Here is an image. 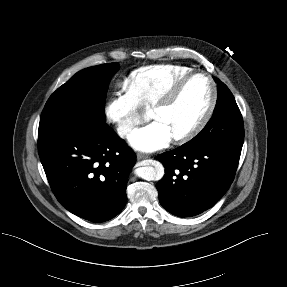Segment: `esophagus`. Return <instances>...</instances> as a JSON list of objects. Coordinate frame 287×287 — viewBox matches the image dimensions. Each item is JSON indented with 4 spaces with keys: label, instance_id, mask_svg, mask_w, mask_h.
<instances>
[{
    "label": "esophagus",
    "instance_id": "34e87169",
    "mask_svg": "<svg viewBox=\"0 0 287 287\" xmlns=\"http://www.w3.org/2000/svg\"><path fill=\"white\" fill-rule=\"evenodd\" d=\"M147 157H148V156H146V155H144V154H140V153L137 154V159H138V160L146 159Z\"/></svg>",
    "mask_w": 287,
    "mask_h": 287
}]
</instances>
